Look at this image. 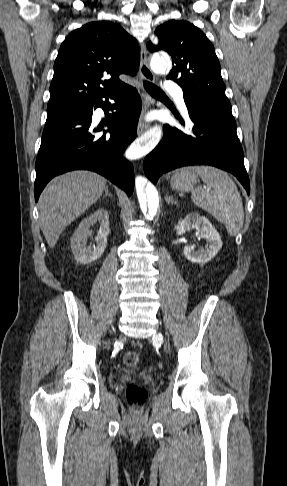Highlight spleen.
I'll use <instances>...</instances> for the list:
<instances>
[{"label": "spleen", "instance_id": "3e777b00", "mask_svg": "<svg viewBox=\"0 0 287 486\" xmlns=\"http://www.w3.org/2000/svg\"><path fill=\"white\" fill-rule=\"evenodd\" d=\"M201 176L205 186L193 190L191 199L195 205L202 208L217 221L225 225L231 237L240 233L244 223V210L241 195L230 176L211 166H196L192 168Z\"/></svg>", "mask_w": 287, "mask_h": 486}]
</instances>
